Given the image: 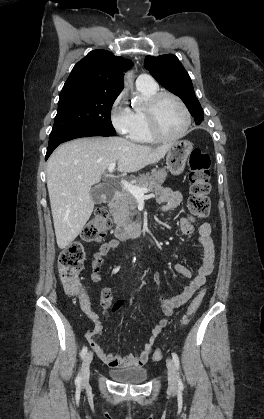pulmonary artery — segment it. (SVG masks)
I'll list each match as a JSON object with an SVG mask.
<instances>
[{"instance_id":"1","label":"pulmonary artery","mask_w":264,"mask_h":419,"mask_svg":"<svg viewBox=\"0 0 264 419\" xmlns=\"http://www.w3.org/2000/svg\"><path fill=\"white\" fill-rule=\"evenodd\" d=\"M136 85L137 86H142V87H152V86H155L156 83L150 75L141 74V75L138 76V78L136 80Z\"/></svg>"}]
</instances>
